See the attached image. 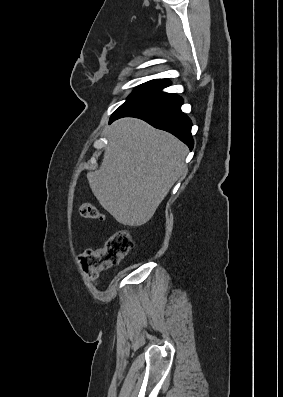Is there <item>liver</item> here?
I'll list each match as a JSON object with an SVG mask.
<instances>
[{
    "instance_id": "liver-1",
    "label": "liver",
    "mask_w": 283,
    "mask_h": 397,
    "mask_svg": "<svg viewBox=\"0 0 283 397\" xmlns=\"http://www.w3.org/2000/svg\"><path fill=\"white\" fill-rule=\"evenodd\" d=\"M107 136L101 166L88 175L91 190L117 222L141 226L184 172L188 149L172 134L135 118L114 122Z\"/></svg>"
}]
</instances>
